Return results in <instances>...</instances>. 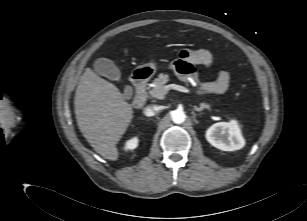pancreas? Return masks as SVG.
<instances>
[{"instance_id":"cf45deb5","label":"pancreas","mask_w":307,"mask_h":221,"mask_svg":"<svg viewBox=\"0 0 307 221\" xmlns=\"http://www.w3.org/2000/svg\"><path fill=\"white\" fill-rule=\"evenodd\" d=\"M170 81L169 75L161 73L158 75L157 78L153 80V88L149 90V94L154 98H163V90L166 86V84ZM201 91V88H199V92Z\"/></svg>"}]
</instances>
